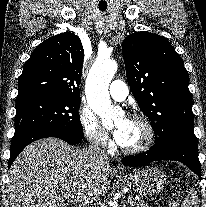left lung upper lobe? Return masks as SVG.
<instances>
[{"instance_id": "1", "label": "left lung upper lobe", "mask_w": 206, "mask_h": 207, "mask_svg": "<svg viewBox=\"0 0 206 207\" xmlns=\"http://www.w3.org/2000/svg\"><path fill=\"white\" fill-rule=\"evenodd\" d=\"M126 75L139 108L150 119L159 149L179 139L196 140L189 76L163 36L136 32L122 43Z\"/></svg>"}]
</instances>
